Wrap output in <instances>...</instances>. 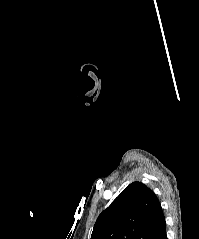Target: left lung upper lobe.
<instances>
[{"mask_svg":"<svg viewBox=\"0 0 199 239\" xmlns=\"http://www.w3.org/2000/svg\"><path fill=\"white\" fill-rule=\"evenodd\" d=\"M162 215L155 193L133 182L99 215L91 239H149Z\"/></svg>","mask_w":199,"mask_h":239,"instance_id":"left-lung-upper-lobe-1","label":"left lung upper lobe"}]
</instances>
